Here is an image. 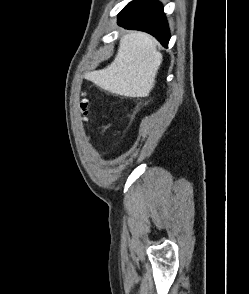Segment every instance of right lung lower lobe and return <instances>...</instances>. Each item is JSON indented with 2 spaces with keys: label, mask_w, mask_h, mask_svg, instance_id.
Segmentation results:
<instances>
[{
  "label": "right lung lower lobe",
  "mask_w": 249,
  "mask_h": 294,
  "mask_svg": "<svg viewBox=\"0 0 249 294\" xmlns=\"http://www.w3.org/2000/svg\"><path fill=\"white\" fill-rule=\"evenodd\" d=\"M118 24L128 29L148 32L167 47L170 33L161 3L156 0H134L119 14Z\"/></svg>",
  "instance_id": "obj_1"
}]
</instances>
